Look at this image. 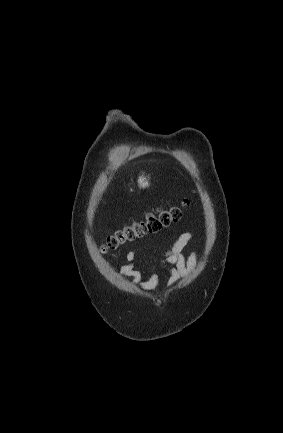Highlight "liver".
<instances>
[{"label":"liver","mask_w":283,"mask_h":433,"mask_svg":"<svg viewBox=\"0 0 283 433\" xmlns=\"http://www.w3.org/2000/svg\"><path fill=\"white\" fill-rule=\"evenodd\" d=\"M138 182H139V186H141V188H145V186H149V182H148L147 178H145L144 174H142V176H139Z\"/></svg>","instance_id":"liver-1"}]
</instances>
